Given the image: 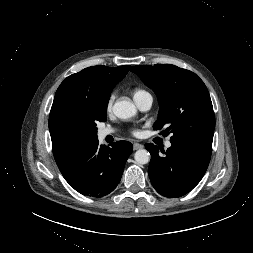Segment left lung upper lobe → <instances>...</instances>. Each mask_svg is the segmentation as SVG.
<instances>
[{"mask_svg": "<svg viewBox=\"0 0 253 253\" xmlns=\"http://www.w3.org/2000/svg\"><path fill=\"white\" fill-rule=\"evenodd\" d=\"M131 71L158 97L160 108L154 129L171 132L172 145L211 156L215 116L204 82L195 73L171 64L133 66Z\"/></svg>", "mask_w": 253, "mask_h": 253, "instance_id": "5c2ea615", "label": "left lung upper lobe"}]
</instances>
